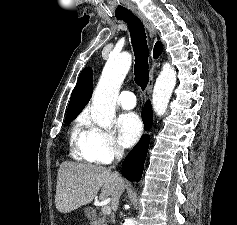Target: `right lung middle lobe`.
Returning <instances> with one entry per match:
<instances>
[{
	"mask_svg": "<svg viewBox=\"0 0 237 225\" xmlns=\"http://www.w3.org/2000/svg\"><path fill=\"white\" fill-rule=\"evenodd\" d=\"M78 114H79V113L66 116L65 123H66V124H69L70 122H72V121L77 117Z\"/></svg>",
	"mask_w": 237,
	"mask_h": 225,
	"instance_id": "1",
	"label": "right lung middle lobe"
}]
</instances>
